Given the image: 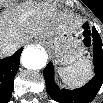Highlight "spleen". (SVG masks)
Masks as SVG:
<instances>
[{"label":"spleen","mask_w":103,"mask_h":103,"mask_svg":"<svg viewBox=\"0 0 103 103\" xmlns=\"http://www.w3.org/2000/svg\"><path fill=\"white\" fill-rule=\"evenodd\" d=\"M58 73L64 84L77 88L92 77V66L88 59H80L73 65L59 67Z\"/></svg>","instance_id":"3e777b00"}]
</instances>
